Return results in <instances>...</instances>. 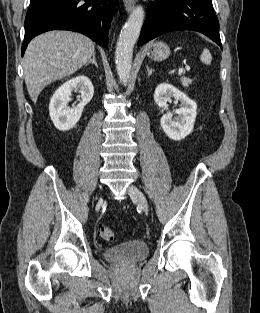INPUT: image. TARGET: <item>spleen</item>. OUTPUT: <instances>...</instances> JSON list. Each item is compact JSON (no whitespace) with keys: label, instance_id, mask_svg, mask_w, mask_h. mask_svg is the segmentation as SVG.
Instances as JSON below:
<instances>
[{"label":"spleen","instance_id":"spleen-1","mask_svg":"<svg viewBox=\"0 0 260 313\" xmlns=\"http://www.w3.org/2000/svg\"><path fill=\"white\" fill-rule=\"evenodd\" d=\"M200 60L209 65L212 61V56H211V53L208 49H203V52L201 53V56H200Z\"/></svg>","mask_w":260,"mask_h":313}]
</instances>
